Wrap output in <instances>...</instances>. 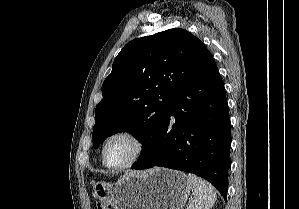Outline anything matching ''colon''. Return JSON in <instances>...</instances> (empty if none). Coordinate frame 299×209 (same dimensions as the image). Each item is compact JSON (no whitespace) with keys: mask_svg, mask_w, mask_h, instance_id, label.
<instances>
[{"mask_svg":"<svg viewBox=\"0 0 299 209\" xmlns=\"http://www.w3.org/2000/svg\"><path fill=\"white\" fill-rule=\"evenodd\" d=\"M97 209H105L100 202H98V206H97Z\"/></svg>","mask_w":299,"mask_h":209,"instance_id":"1","label":"colon"}]
</instances>
